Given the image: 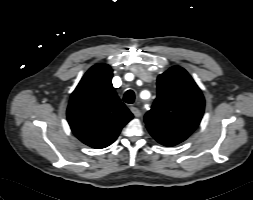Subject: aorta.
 I'll list each match as a JSON object with an SVG mask.
<instances>
[{
	"instance_id": "762f6f07",
	"label": "aorta",
	"mask_w": 253,
	"mask_h": 200,
	"mask_svg": "<svg viewBox=\"0 0 253 200\" xmlns=\"http://www.w3.org/2000/svg\"><path fill=\"white\" fill-rule=\"evenodd\" d=\"M150 105H146V108L149 109Z\"/></svg>"
}]
</instances>
